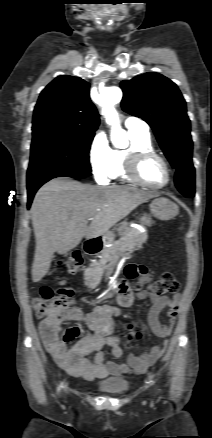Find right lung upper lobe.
<instances>
[{
  "label": "right lung upper lobe",
  "mask_w": 212,
  "mask_h": 438,
  "mask_svg": "<svg viewBox=\"0 0 212 438\" xmlns=\"http://www.w3.org/2000/svg\"><path fill=\"white\" fill-rule=\"evenodd\" d=\"M89 83L62 75L41 92L34 109L32 130L65 129L95 132L99 115L89 97Z\"/></svg>",
  "instance_id": "1"
}]
</instances>
